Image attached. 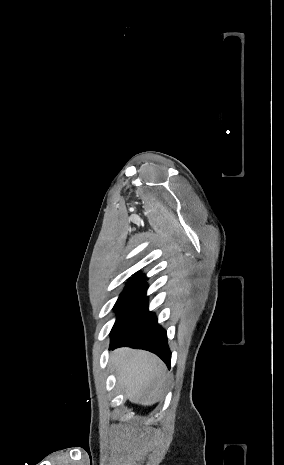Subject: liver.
I'll return each mask as SVG.
<instances>
[{
  "instance_id": "liver-1",
  "label": "liver",
  "mask_w": 284,
  "mask_h": 465,
  "mask_svg": "<svg viewBox=\"0 0 284 465\" xmlns=\"http://www.w3.org/2000/svg\"><path fill=\"white\" fill-rule=\"evenodd\" d=\"M111 361L117 371L118 383L126 397L138 405H154L163 393L166 367L156 355L147 351L117 349Z\"/></svg>"
}]
</instances>
